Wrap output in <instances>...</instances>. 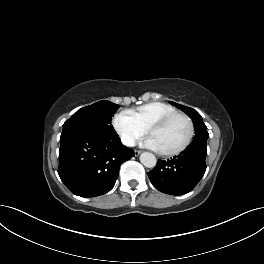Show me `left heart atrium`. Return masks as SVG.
I'll use <instances>...</instances> for the list:
<instances>
[{
  "instance_id": "39dd6f15",
  "label": "left heart atrium",
  "mask_w": 264,
  "mask_h": 264,
  "mask_svg": "<svg viewBox=\"0 0 264 264\" xmlns=\"http://www.w3.org/2000/svg\"><path fill=\"white\" fill-rule=\"evenodd\" d=\"M144 146L155 151H161L156 140L152 137H149L144 141Z\"/></svg>"
}]
</instances>
